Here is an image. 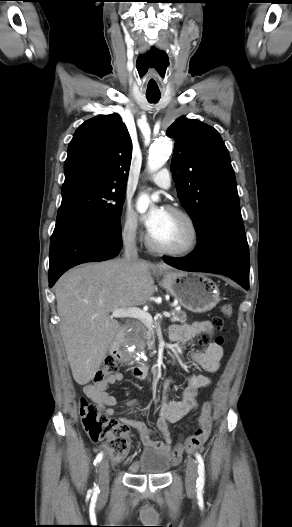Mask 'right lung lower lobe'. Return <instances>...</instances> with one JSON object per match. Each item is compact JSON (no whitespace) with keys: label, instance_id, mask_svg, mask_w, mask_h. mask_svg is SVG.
I'll return each mask as SVG.
<instances>
[{"label":"right lung lower lobe","instance_id":"1","mask_svg":"<svg viewBox=\"0 0 292 527\" xmlns=\"http://www.w3.org/2000/svg\"><path fill=\"white\" fill-rule=\"evenodd\" d=\"M121 247V233L89 221L57 220L50 242L49 287L68 269L85 262L111 259Z\"/></svg>","mask_w":292,"mask_h":527}]
</instances>
